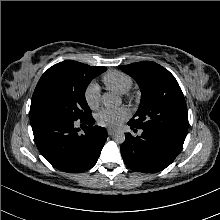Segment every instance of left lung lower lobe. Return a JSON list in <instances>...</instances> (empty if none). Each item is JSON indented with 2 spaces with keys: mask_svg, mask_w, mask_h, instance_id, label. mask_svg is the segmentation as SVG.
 <instances>
[{
  "mask_svg": "<svg viewBox=\"0 0 220 220\" xmlns=\"http://www.w3.org/2000/svg\"><path fill=\"white\" fill-rule=\"evenodd\" d=\"M131 128H136L128 122ZM121 145V154L126 166L137 172L154 173L168 167L183 147L184 140L167 132L143 129L141 136L130 133Z\"/></svg>",
  "mask_w": 220,
  "mask_h": 220,
  "instance_id": "0a47b994",
  "label": "left lung lower lobe"
}]
</instances>
